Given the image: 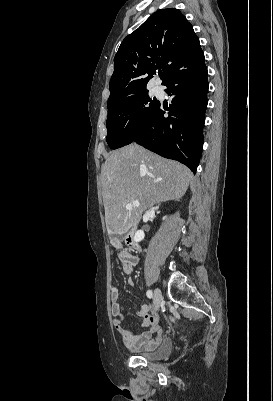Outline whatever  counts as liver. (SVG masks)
I'll return each instance as SVG.
<instances>
[{
  "label": "liver",
  "mask_w": 273,
  "mask_h": 401,
  "mask_svg": "<svg viewBox=\"0 0 273 401\" xmlns=\"http://www.w3.org/2000/svg\"><path fill=\"white\" fill-rule=\"evenodd\" d=\"M102 196L108 235H125L138 225L143 211L178 201L185 194L193 172L176 162L162 158L139 144H128L111 152L102 168ZM139 201L140 207L126 209Z\"/></svg>",
  "instance_id": "liver-1"
}]
</instances>
